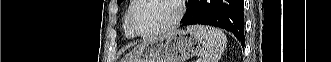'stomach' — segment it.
Masks as SVG:
<instances>
[{
  "mask_svg": "<svg viewBox=\"0 0 331 62\" xmlns=\"http://www.w3.org/2000/svg\"><path fill=\"white\" fill-rule=\"evenodd\" d=\"M200 40L186 30H172L137 45L131 62H185L199 52Z\"/></svg>",
  "mask_w": 331,
  "mask_h": 62,
  "instance_id": "1",
  "label": "stomach"
}]
</instances>
